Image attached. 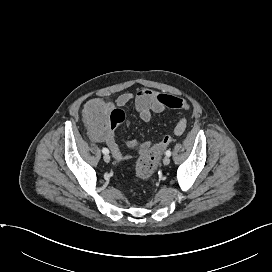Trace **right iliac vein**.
Instances as JSON below:
<instances>
[{
    "label": "right iliac vein",
    "instance_id": "right-iliac-vein-1",
    "mask_svg": "<svg viewBox=\"0 0 272 272\" xmlns=\"http://www.w3.org/2000/svg\"><path fill=\"white\" fill-rule=\"evenodd\" d=\"M103 159H104V161H105L106 163H109V162H110V156H109L108 154H105V155L103 156Z\"/></svg>",
    "mask_w": 272,
    "mask_h": 272
}]
</instances>
